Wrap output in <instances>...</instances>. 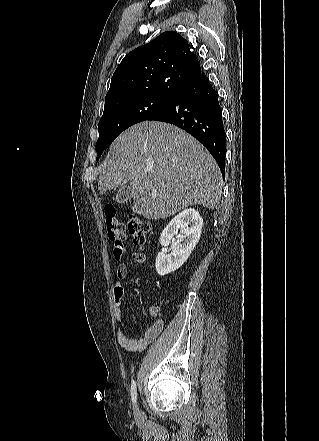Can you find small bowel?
Returning a JSON list of instances; mask_svg holds the SVG:
<instances>
[{"label":"small bowel","mask_w":319,"mask_h":441,"mask_svg":"<svg viewBox=\"0 0 319 441\" xmlns=\"http://www.w3.org/2000/svg\"><path fill=\"white\" fill-rule=\"evenodd\" d=\"M133 258L137 262H143L145 256L141 253L133 254ZM127 267L123 264L117 267L116 275L118 282H116L112 289V299L114 305L115 317L118 324H121L122 318V305H123V295H124V284L123 279L127 276ZM161 305L159 303L149 305V318L150 324L144 332V335L139 339H132L126 333L119 329L117 331V341L119 345L129 351H142L149 344L154 342L161 334L164 328V321L160 317Z\"/></svg>","instance_id":"small-bowel-1"}]
</instances>
